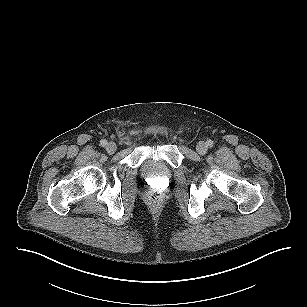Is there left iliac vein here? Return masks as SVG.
Here are the masks:
<instances>
[{"mask_svg":"<svg viewBox=\"0 0 307 307\" xmlns=\"http://www.w3.org/2000/svg\"><path fill=\"white\" fill-rule=\"evenodd\" d=\"M208 150L207 145L204 142H199L196 145V151L198 154L203 155L206 154Z\"/></svg>","mask_w":307,"mask_h":307,"instance_id":"left-iliac-vein-1","label":"left iliac vein"}]
</instances>
